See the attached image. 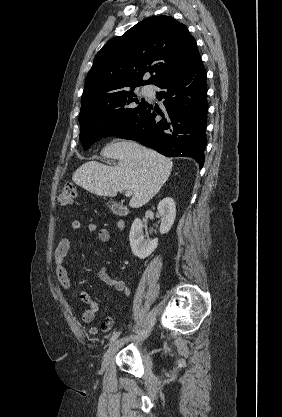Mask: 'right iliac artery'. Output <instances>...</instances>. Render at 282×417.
I'll return each instance as SVG.
<instances>
[{
    "instance_id": "right-iliac-artery-1",
    "label": "right iliac artery",
    "mask_w": 282,
    "mask_h": 417,
    "mask_svg": "<svg viewBox=\"0 0 282 417\" xmlns=\"http://www.w3.org/2000/svg\"><path fill=\"white\" fill-rule=\"evenodd\" d=\"M154 322H155V318H152L150 322L151 326L154 324ZM119 335H120V332H114L110 338V343L114 342L118 338Z\"/></svg>"
}]
</instances>
